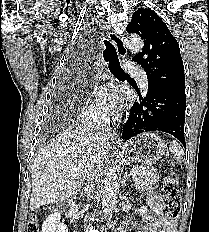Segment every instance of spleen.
<instances>
[{
    "mask_svg": "<svg viewBox=\"0 0 209 232\" xmlns=\"http://www.w3.org/2000/svg\"><path fill=\"white\" fill-rule=\"evenodd\" d=\"M170 152L174 155V158L178 162H183L185 159L184 151L182 147L175 141H172L170 144Z\"/></svg>",
    "mask_w": 209,
    "mask_h": 232,
    "instance_id": "3e777b00",
    "label": "spleen"
}]
</instances>
